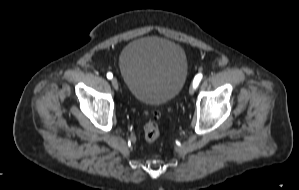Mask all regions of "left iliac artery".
I'll use <instances>...</instances> for the list:
<instances>
[{"mask_svg": "<svg viewBox=\"0 0 299 190\" xmlns=\"http://www.w3.org/2000/svg\"><path fill=\"white\" fill-rule=\"evenodd\" d=\"M203 75L201 73L197 74L195 77H194V80H193V87L194 88H197L199 82L201 81Z\"/></svg>", "mask_w": 299, "mask_h": 190, "instance_id": "obj_1", "label": "left iliac artery"}]
</instances>
